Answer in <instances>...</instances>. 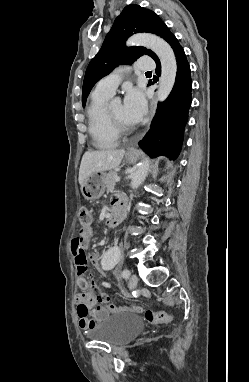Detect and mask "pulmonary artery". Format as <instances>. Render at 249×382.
I'll use <instances>...</instances> for the list:
<instances>
[{"label":"pulmonary artery","instance_id":"e3ab8cb5","mask_svg":"<svg viewBox=\"0 0 249 382\" xmlns=\"http://www.w3.org/2000/svg\"><path fill=\"white\" fill-rule=\"evenodd\" d=\"M154 67L155 64L149 57L139 58L134 65L135 69L141 71L152 70ZM124 71L125 68L123 67L117 68L113 73L101 79L97 83L95 90L112 96L121 82Z\"/></svg>","mask_w":249,"mask_h":382}]
</instances>
